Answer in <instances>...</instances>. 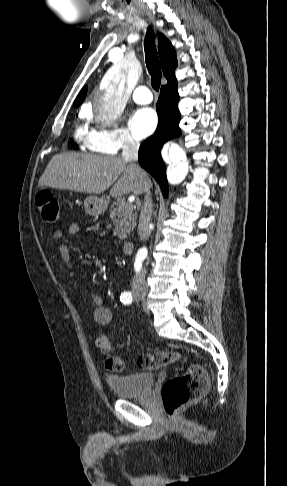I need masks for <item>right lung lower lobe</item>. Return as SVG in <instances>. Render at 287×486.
<instances>
[{"instance_id": "98d812e1", "label": "right lung lower lobe", "mask_w": 287, "mask_h": 486, "mask_svg": "<svg viewBox=\"0 0 287 486\" xmlns=\"http://www.w3.org/2000/svg\"><path fill=\"white\" fill-rule=\"evenodd\" d=\"M179 95L177 81L161 87L160 97L156 109L158 113V127L153 136L145 140L139 148V163L158 182L164 197L168 193L165 164L160 150L165 142L180 136L179 121L181 115L177 104Z\"/></svg>"}]
</instances>
